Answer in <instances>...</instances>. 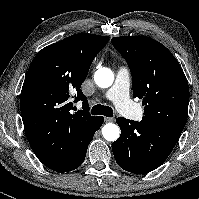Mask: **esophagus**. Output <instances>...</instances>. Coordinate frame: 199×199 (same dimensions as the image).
<instances>
[{
  "label": "esophagus",
  "mask_w": 199,
  "mask_h": 199,
  "mask_svg": "<svg viewBox=\"0 0 199 199\" xmlns=\"http://www.w3.org/2000/svg\"><path fill=\"white\" fill-rule=\"evenodd\" d=\"M104 121H105L106 123H108V122H113V121H114V118L105 117Z\"/></svg>",
  "instance_id": "obj_1"
}]
</instances>
